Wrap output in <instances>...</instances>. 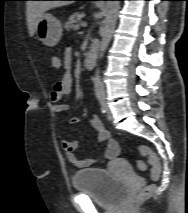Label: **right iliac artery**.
Segmentation results:
<instances>
[{"instance_id":"obj_1","label":"right iliac artery","mask_w":188,"mask_h":213,"mask_svg":"<svg viewBox=\"0 0 188 213\" xmlns=\"http://www.w3.org/2000/svg\"><path fill=\"white\" fill-rule=\"evenodd\" d=\"M100 104H101V111L102 113H106L107 112V106H106V102L104 99L100 100Z\"/></svg>"}]
</instances>
